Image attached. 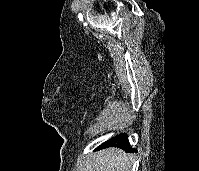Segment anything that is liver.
<instances>
[{
  "label": "liver",
  "instance_id": "1",
  "mask_svg": "<svg viewBox=\"0 0 199 171\" xmlns=\"http://www.w3.org/2000/svg\"><path fill=\"white\" fill-rule=\"evenodd\" d=\"M132 157L118 148H108L93 154L86 162L85 171H131Z\"/></svg>",
  "mask_w": 199,
  "mask_h": 171
}]
</instances>
